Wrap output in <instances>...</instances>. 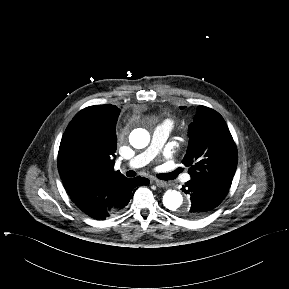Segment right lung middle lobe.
I'll return each mask as SVG.
<instances>
[{
	"mask_svg": "<svg viewBox=\"0 0 289 289\" xmlns=\"http://www.w3.org/2000/svg\"><path fill=\"white\" fill-rule=\"evenodd\" d=\"M119 114L104 113L100 117L94 114H84L79 118L80 127L77 133L84 143L100 144L108 135L115 133L116 122Z\"/></svg>",
	"mask_w": 289,
	"mask_h": 289,
	"instance_id": "right-lung-middle-lobe-1",
	"label": "right lung middle lobe"
}]
</instances>
